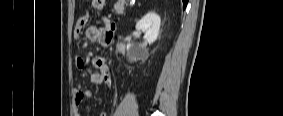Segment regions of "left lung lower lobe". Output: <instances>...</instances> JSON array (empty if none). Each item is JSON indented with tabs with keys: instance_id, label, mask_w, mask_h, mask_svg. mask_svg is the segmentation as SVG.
Returning a JSON list of instances; mask_svg holds the SVG:
<instances>
[{
	"instance_id": "1",
	"label": "left lung lower lobe",
	"mask_w": 283,
	"mask_h": 116,
	"mask_svg": "<svg viewBox=\"0 0 283 116\" xmlns=\"http://www.w3.org/2000/svg\"><path fill=\"white\" fill-rule=\"evenodd\" d=\"M183 1V7L185 8L187 5L188 0H182Z\"/></svg>"
}]
</instances>
